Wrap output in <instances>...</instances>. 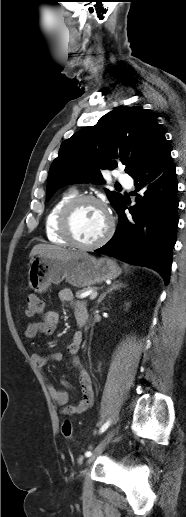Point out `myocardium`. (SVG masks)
Instances as JSON below:
<instances>
[{
	"label": "myocardium",
	"instance_id": "obj_1",
	"mask_svg": "<svg viewBox=\"0 0 186 517\" xmlns=\"http://www.w3.org/2000/svg\"><path fill=\"white\" fill-rule=\"evenodd\" d=\"M85 203H93L99 205L105 212L107 217V228L104 234L93 243H82L76 239L73 232L72 221L78 208ZM115 229L113 216L107 204L100 198L93 195H77L71 199L63 208L59 218V230L61 235L74 247L82 250H93L103 246L112 237Z\"/></svg>",
	"mask_w": 186,
	"mask_h": 517
}]
</instances>
